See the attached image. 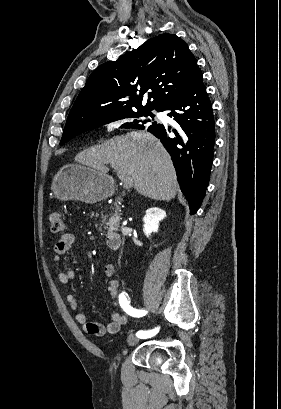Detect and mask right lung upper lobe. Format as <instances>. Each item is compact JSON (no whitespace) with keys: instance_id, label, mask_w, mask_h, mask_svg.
Segmentation results:
<instances>
[{"instance_id":"1","label":"right lung upper lobe","mask_w":281,"mask_h":409,"mask_svg":"<svg viewBox=\"0 0 281 409\" xmlns=\"http://www.w3.org/2000/svg\"><path fill=\"white\" fill-rule=\"evenodd\" d=\"M200 71L181 38L175 34L153 37L137 50L92 72L68 115L65 128L84 127L123 112L159 111ZM148 90L152 92L143 105V95Z\"/></svg>"}]
</instances>
